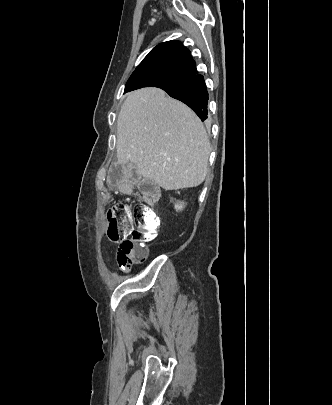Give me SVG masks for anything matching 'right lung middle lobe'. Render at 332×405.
<instances>
[{
    "label": "right lung middle lobe",
    "instance_id": "obj_1",
    "mask_svg": "<svg viewBox=\"0 0 332 405\" xmlns=\"http://www.w3.org/2000/svg\"><path fill=\"white\" fill-rule=\"evenodd\" d=\"M184 80L176 76L160 71L134 72L126 83L124 92H129L147 86L159 88L169 87Z\"/></svg>",
    "mask_w": 332,
    "mask_h": 405
}]
</instances>
